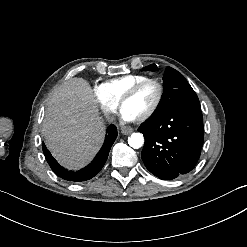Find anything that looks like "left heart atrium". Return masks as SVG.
<instances>
[{
    "instance_id": "39dd6f15",
    "label": "left heart atrium",
    "mask_w": 247,
    "mask_h": 247,
    "mask_svg": "<svg viewBox=\"0 0 247 247\" xmlns=\"http://www.w3.org/2000/svg\"><path fill=\"white\" fill-rule=\"evenodd\" d=\"M121 119L124 122H132L138 119L137 114L129 108H124L121 111Z\"/></svg>"
}]
</instances>
